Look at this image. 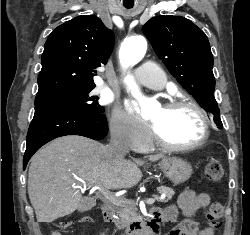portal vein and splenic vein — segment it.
<instances>
[{
  "label": "portal vein and splenic vein",
  "mask_w": 250,
  "mask_h": 235,
  "mask_svg": "<svg viewBox=\"0 0 250 235\" xmlns=\"http://www.w3.org/2000/svg\"><path fill=\"white\" fill-rule=\"evenodd\" d=\"M102 194L104 195V197L106 199H108L109 201H116V199L114 198L113 194L107 190H102ZM165 198V195H162L160 197V200H163ZM156 199H153V198H149V199H146L145 202L146 204H153L155 202Z\"/></svg>",
  "instance_id": "18ae733b"
}]
</instances>
